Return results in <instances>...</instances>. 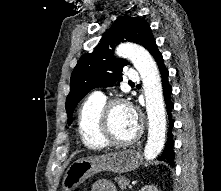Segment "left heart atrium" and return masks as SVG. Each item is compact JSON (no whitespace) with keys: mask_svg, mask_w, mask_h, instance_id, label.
<instances>
[{"mask_svg":"<svg viewBox=\"0 0 221 191\" xmlns=\"http://www.w3.org/2000/svg\"><path fill=\"white\" fill-rule=\"evenodd\" d=\"M126 113L129 121L131 122L132 125L137 126L138 123V117L136 112L134 111L133 108L131 107H126Z\"/></svg>","mask_w":221,"mask_h":191,"instance_id":"obj_1","label":"left heart atrium"}]
</instances>
